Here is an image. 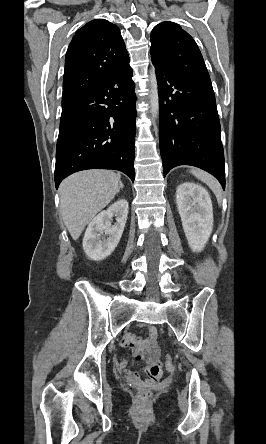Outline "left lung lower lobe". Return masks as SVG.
<instances>
[{
    "mask_svg": "<svg viewBox=\"0 0 266 444\" xmlns=\"http://www.w3.org/2000/svg\"><path fill=\"white\" fill-rule=\"evenodd\" d=\"M159 93V142L164 176L192 165L214 175L225 189L220 121L210 78L176 75L153 62Z\"/></svg>",
    "mask_w": 266,
    "mask_h": 444,
    "instance_id": "0a47b994",
    "label": "left lung lower lobe"
}]
</instances>
